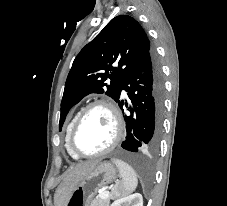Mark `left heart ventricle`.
<instances>
[{"instance_id":"left-heart-ventricle-1","label":"left heart ventricle","mask_w":227,"mask_h":206,"mask_svg":"<svg viewBox=\"0 0 227 206\" xmlns=\"http://www.w3.org/2000/svg\"><path fill=\"white\" fill-rule=\"evenodd\" d=\"M114 134L111 113L105 107H96L84 117L76 133L75 146L82 153H96L111 143Z\"/></svg>"}]
</instances>
